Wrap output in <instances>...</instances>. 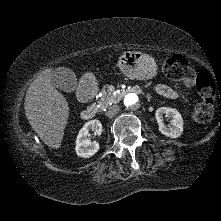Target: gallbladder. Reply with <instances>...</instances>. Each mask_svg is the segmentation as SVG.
I'll return each mask as SVG.
<instances>
[{
    "mask_svg": "<svg viewBox=\"0 0 221 221\" xmlns=\"http://www.w3.org/2000/svg\"><path fill=\"white\" fill-rule=\"evenodd\" d=\"M51 83L59 90L68 93L76 89L77 78L71 69L59 67L52 72Z\"/></svg>",
    "mask_w": 221,
    "mask_h": 221,
    "instance_id": "1",
    "label": "gallbladder"
}]
</instances>
